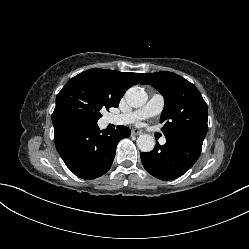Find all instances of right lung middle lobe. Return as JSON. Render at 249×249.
I'll list each match as a JSON object with an SVG mask.
<instances>
[{"instance_id":"dd1d6c3e","label":"right lung middle lobe","mask_w":249,"mask_h":249,"mask_svg":"<svg viewBox=\"0 0 249 249\" xmlns=\"http://www.w3.org/2000/svg\"><path fill=\"white\" fill-rule=\"evenodd\" d=\"M117 107L86 81H68L56 97L53 114L67 113L89 123H97L100 110Z\"/></svg>"}]
</instances>
